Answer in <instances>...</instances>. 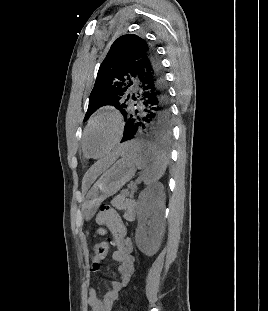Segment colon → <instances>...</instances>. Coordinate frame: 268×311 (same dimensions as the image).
<instances>
[{"instance_id": "colon-1", "label": "colon", "mask_w": 268, "mask_h": 311, "mask_svg": "<svg viewBox=\"0 0 268 311\" xmlns=\"http://www.w3.org/2000/svg\"><path fill=\"white\" fill-rule=\"evenodd\" d=\"M109 245V241H102L95 246L94 251L91 255L92 268L94 270H97L100 266V263L105 260L109 251Z\"/></svg>"}]
</instances>
